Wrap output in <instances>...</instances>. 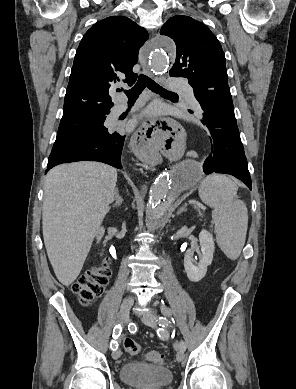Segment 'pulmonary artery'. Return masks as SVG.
I'll list each match as a JSON object with an SVG mask.
<instances>
[{"label": "pulmonary artery", "mask_w": 296, "mask_h": 389, "mask_svg": "<svg viewBox=\"0 0 296 389\" xmlns=\"http://www.w3.org/2000/svg\"><path fill=\"white\" fill-rule=\"evenodd\" d=\"M168 88L171 90H174V91L182 92L184 97H185L186 103L189 106H191L197 110L200 109V104L196 100L194 93H193V90L188 84H186L180 80H177V79H169L168 80ZM125 108H126V102L124 101V99H121L114 107L113 114L119 115L120 113H122L125 110Z\"/></svg>", "instance_id": "e3ab8cb5"}]
</instances>
